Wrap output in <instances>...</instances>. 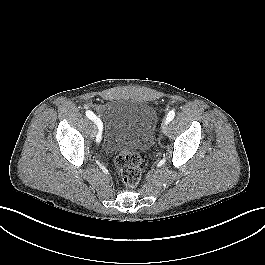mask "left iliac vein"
Instances as JSON below:
<instances>
[{"label": "left iliac vein", "instance_id": "1", "mask_svg": "<svg viewBox=\"0 0 265 265\" xmlns=\"http://www.w3.org/2000/svg\"><path fill=\"white\" fill-rule=\"evenodd\" d=\"M167 124H168L167 121H165V122L163 123V131H164V133H167Z\"/></svg>", "mask_w": 265, "mask_h": 265}]
</instances>
